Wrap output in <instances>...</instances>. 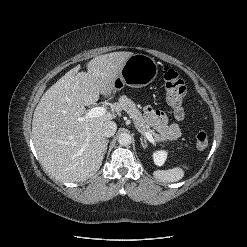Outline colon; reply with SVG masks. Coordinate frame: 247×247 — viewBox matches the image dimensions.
Returning <instances> with one entry per match:
<instances>
[{
    "label": "colon",
    "mask_w": 247,
    "mask_h": 247,
    "mask_svg": "<svg viewBox=\"0 0 247 247\" xmlns=\"http://www.w3.org/2000/svg\"><path fill=\"white\" fill-rule=\"evenodd\" d=\"M163 78L165 82L166 101L173 108L175 117L177 119H183L185 115V81L178 72L169 67L164 68ZM195 145L200 151L205 150L208 147L209 140L204 131H199L196 134Z\"/></svg>",
    "instance_id": "obj_1"
}]
</instances>
